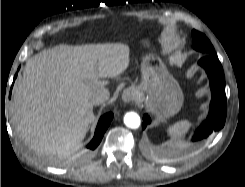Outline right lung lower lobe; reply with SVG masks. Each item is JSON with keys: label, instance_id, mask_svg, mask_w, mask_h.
I'll use <instances>...</instances> for the list:
<instances>
[{"label": "right lung lower lobe", "instance_id": "1", "mask_svg": "<svg viewBox=\"0 0 245 187\" xmlns=\"http://www.w3.org/2000/svg\"><path fill=\"white\" fill-rule=\"evenodd\" d=\"M16 76H17V74L15 75L14 79L16 78ZM112 118H113L112 113H107L100 118L98 125H97V128H96V131H95L94 138L87 145V148L89 150H94L99 145V143L102 140V137L104 136L106 129L108 128V126L111 123Z\"/></svg>", "mask_w": 245, "mask_h": 187}]
</instances>
